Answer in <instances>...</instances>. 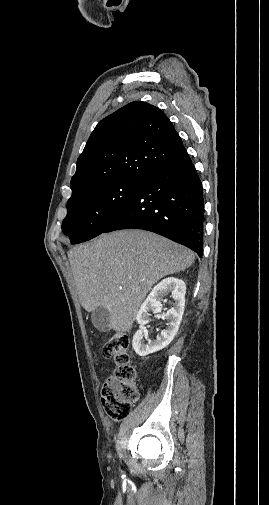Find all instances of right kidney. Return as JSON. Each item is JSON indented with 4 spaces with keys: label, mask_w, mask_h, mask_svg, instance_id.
I'll list each match as a JSON object with an SVG mask.
<instances>
[{
    "label": "right kidney",
    "mask_w": 269,
    "mask_h": 505,
    "mask_svg": "<svg viewBox=\"0 0 269 505\" xmlns=\"http://www.w3.org/2000/svg\"><path fill=\"white\" fill-rule=\"evenodd\" d=\"M171 294L174 299L173 308L163 314L168 320L166 329L162 330L153 340H147L145 344L143 337H147L145 325L150 320V312L161 313L163 297ZM186 285L178 278L169 277L159 282L150 292L137 313V322L141 328L135 333L132 340L134 351L139 356H147L162 350L168 346L176 336L185 307Z\"/></svg>",
    "instance_id": "ca27d5eb"
}]
</instances>
